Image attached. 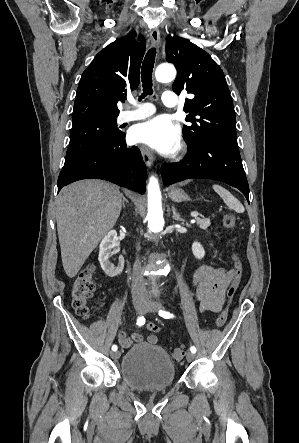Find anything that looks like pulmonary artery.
Segmentation results:
<instances>
[{
    "instance_id": "pulmonary-artery-1",
    "label": "pulmonary artery",
    "mask_w": 299,
    "mask_h": 443,
    "mask_svg": "<svg viewBox=\"0 0 299 443\" xmlns=\"http://www.w3.org/2000/svg\"><path fill=\"white\" fill-rule=\"evenodd\" d=\"M130 102L135 106V109L121 112L118 117L121 123L144 119L154 113V107L151 104L136 101ZM162 102L166 107H176L178 105V97L171 91H165L162 94Z\"/></svg>"
}]
</instances>
